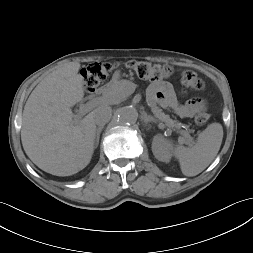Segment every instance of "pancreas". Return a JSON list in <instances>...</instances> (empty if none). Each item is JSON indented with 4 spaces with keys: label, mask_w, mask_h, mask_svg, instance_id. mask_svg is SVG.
I'll use <instances>...</instances> for the list:
<instances>
[{
    "label": "pancreas",
    "mask_w": 253,
    "mask_h": 253,
    "mask_svg": "<svg viewBox=\"0 0 253 253\" xmlns=\"http://www.w3.org/2000/svg\"><path fill=\"white\" fill-rule=\"evenodd\" d=\"M133 93V89L129 86V82L125 80L117 81L113 84H110L104 88L103 96L110 103H119L124 101L128 96ZM151 111L154 116L161 122H164L165 125L174 131H180V133H187L185 131H181V125L175 120H172L169 115L164 114L162 109L157 105L151 106Z\"/></svg>",
    "instance_id": "obj_1"
}]
</instances>
